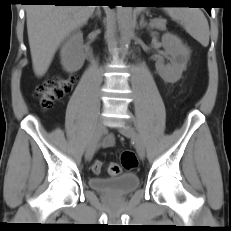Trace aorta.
<instances>
[{
    "label": "aorta",
    "mask_w": 231,
    "mask_h": 231,
    "mask_svg": "<svg viewBox=\"0 0 231 231\" xmlns=\"http://www.w3.org/2000/svg\"><path fill=\"white\" fill-rule=\"evenodd\" d=\"M117 20L121 40L123 43H127L131 36L132 7L117 6Z\"/></svg>",
    "instance_id": "762f6f07"
}]
</instances>
